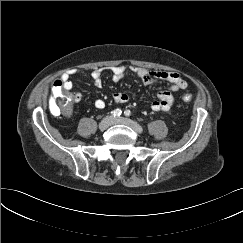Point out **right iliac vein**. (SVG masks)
Instances as JSON below:
<instances>
[{"mask_svg": "<svg viewBox=\"0 0 243 243\" xmlns=\"http://www.w3.org/2000/svg\"><path fill=\"white\" fill-rule=\"evenodd\" d=\"M112 123L111 117H105L101 122L99 123V129L100 130H106Z\"/></svg>", "mask_w": 243, "mask_h": 243, "instance_id": "obj_1", "label": "right iliac vein"}]
</instances>
